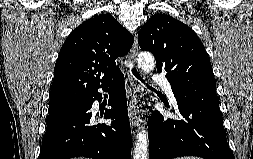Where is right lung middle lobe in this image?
<instances>
[{
	"instance_id": "obj_1",
	"label": "right lung middle lobe",
	"mask_w": 253,
	"mask_h": 159,
	"mask_svg": "<svg viewBox=\"0 0 253 159\" xmlns=\"http://www.w3.org/2000/svg\"><path fill=\"white\" fill-rule=\"evenodd\" d=\"M87 98L88 96H82V97L62 99V100H57V101H50L49 115H48L47 121L55 118L57 115L61 114L62 112H65L66 110L76 106L78 103H80L81 101H84Z\"/></svg>"
}]
</instances>
